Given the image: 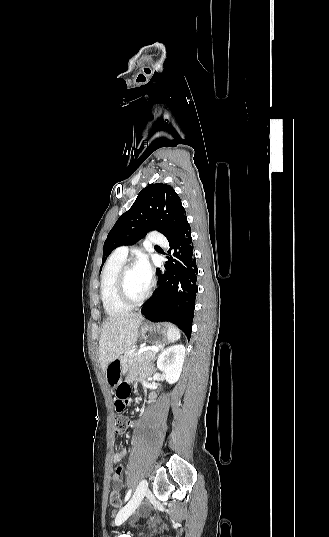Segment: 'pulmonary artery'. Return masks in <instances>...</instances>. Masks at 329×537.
Here are the masks:
<instances>
[{
    "mask_svg": "<svg viewBox=\"0 0 329 537\" xmlns=\"http://www.w3.org/2000/svg\"><path fill=\"white\" fill-rule=\"evenodd\" d=\"M148 241L154 245L166 246L168 244L167 239L163 235L157 232H151L149 234ZM113 254L119 258L126 260L127 255H128V247L120 246L115 249Z\"/></svg>",
    "mask_w": 329,
    "mask_h": 537,
    "instance_id": "e3ab8cb5",
    "label": "pulmonary artery"
}]
</instances>
